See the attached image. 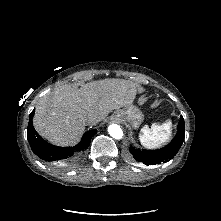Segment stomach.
I'll return each instance as SVG.
<instances>
[{"label":"stomach","instance_id":"stomach-1","mask_svg":"<svg viewBox=\"0 0 221 221\" xmlns=\"http://www.w3.org/2000/svg\"><path fill=\"white\" fill-rule=\"evenodd\" d=\"M112 117L120 122H131L133 127H137L143 121L142 112L132 105L116 110Z\"/></svg>","mask_w":221,"mask_h":221}]
</instances>
